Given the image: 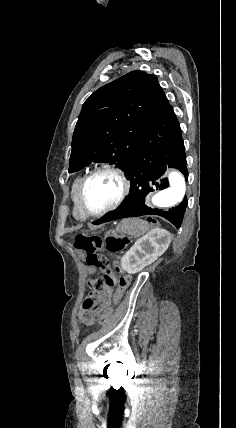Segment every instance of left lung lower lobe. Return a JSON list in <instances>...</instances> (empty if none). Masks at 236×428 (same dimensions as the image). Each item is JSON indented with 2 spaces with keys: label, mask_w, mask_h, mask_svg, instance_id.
<instances>
[{
  "label": "left lung lower lobe",
  "mask_w": 236,
  "mask_h": 428,
  "mask_svg": "<svg viewBox=\"0 0 236 428\" xmlns=\"http://www.w3.org/2000/svg\"><path fill=\"white\" fill-rule=\"evenodd\" d=\"M166 165L177 168L187 180L188 171L181 128L172 106H169L146 129L125 169L131 182L125 202L93 224L98 225L127 217L159 215L179 228L188 203L186 197L178 206L167 211L153 209L144 204L145 196L149 192L169 186L167 178L163 176Z\"/></svg>",
  "instance_id": "obj_1"
}]
</instances>
